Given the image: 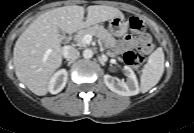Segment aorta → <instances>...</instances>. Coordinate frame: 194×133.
Returning a JSON list of instances; mask_svg holds the SVG:
<instances>
[{
    "mask_svg": "<svg viewBox=\"0 0 194 133\" xmlns=\"http://www.w3.org/2000/svg\"><path fill=\"white\" fill-rule=\"evenodd\" d=\"M92 56H93V51L91 49H85L83 51V57L85 59H90V58H92Z\"/></svg>",
    "mask_w": 194,
    "mask_h": 133,
    "instance_id": "aorta-1",
    "label": "aorta"
}]
</instances>
